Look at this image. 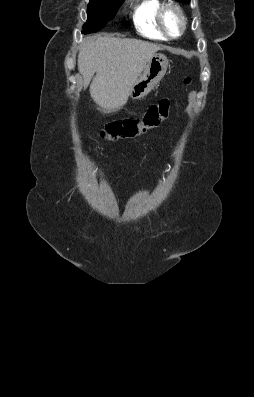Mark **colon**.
Masks as SVG:
<instances>
[{"label":"colon","mask_w":254,"mask_h":397,"mask_svg":"<svg viewBox=\"0 0 254 397\" xmlns=\"http://www.w3.org/2000/svg\"><path fill=\"white\" fill-rule=\"evenodd\" d=\"M185 83L190 84L191 78L187 77ZM170 109V101L168 99H162L150 106L140 119H128L110 123L104 128L101 135L109 141L133 139L157 127L169 115Z\"/></svg>","instance_id":"colon-1"}]
</instances>
